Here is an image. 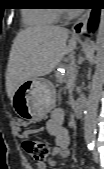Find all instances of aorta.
<instances>
[{"label": "aorta", "mask_w": 104, "mask_h": 169, "mask_svg": "<svg viewBox=\"0 0 104 169\" xmlns=\"http://www.w3.org/2000/svg\"><path fill=\"white\" fill-rule=\"evenodd\" d=\"M95 48L97 51V67L84 112V136L85 139L90 142H94L96 139L98 105L104 84V36L102 31L98 32Z\"/></svg>", "instance_id": "1"}]
</instances>
